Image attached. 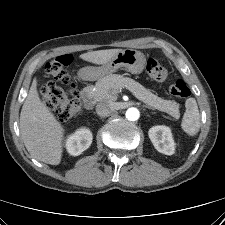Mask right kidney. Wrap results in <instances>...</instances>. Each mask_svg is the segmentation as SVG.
I'll return each instance as SVG.
<instances>
[{"label":"right kidney","mask_w":225,"mask_h":225,"mask_svg":"<svg viewBox=\"0 0 225 225\" xmlns=\"http://www.w3.org/2000/svg\"><path fill=\"white\" fill-rule=\"evenodd\" d=\"M92 143V133L87 128H80L66 140V149L70 155L78 156Z\"/></svg>","instance_id":"obj_1"}]
</instances>
